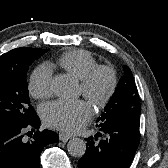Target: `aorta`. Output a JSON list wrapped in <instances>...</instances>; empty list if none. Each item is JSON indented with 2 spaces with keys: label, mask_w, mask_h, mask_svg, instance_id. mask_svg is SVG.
<instances>
[{
  "label": "aorta",
  "mask_w": 168,
  "mask_h": 168,
  "mask_svg": "<svg viewBox=\"0 0 168 168\" xmlns=\"http://www.w3.org/2000/svg\"><path fill=\"white\" fill-rule=\"evenodd\" d=\"M76 82L70 76L57 75L52 82V90L60 98H70L76 92ZM67 150L73 157H82L86 151V143L80 138H72L67 144Z\"/></svg>",
  "instance_id": "obj_1"
}]
</instances>
